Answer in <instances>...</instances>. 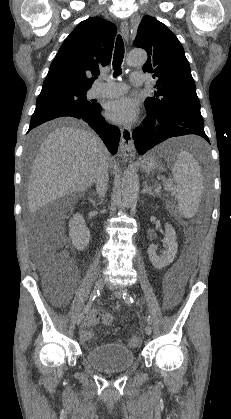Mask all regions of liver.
Instances as JSON below:
<instances>
[{
	"mask_svg": "<svg viewBox=\"0 0 231 419\" xmlns=\"http://www.w3.org/2000/svg\"><path fill=\"white\" fill-rule=\"evenodd\" d=\"M65 123L54 121L31 133L35 137L49 131L31 169L27 189L30 212L66 195L84 192L95 182L102 163L112 165L109 151L96 134Z\"/></svg>",
	"mask_w": 231,
	"mask_h": 419,
	"instance_id": "1",
	"label": "liver"
}]
</instances>
